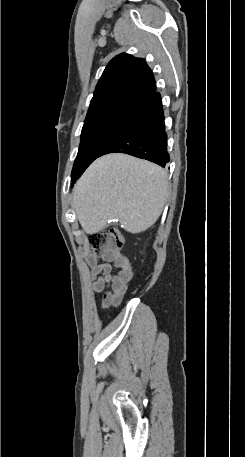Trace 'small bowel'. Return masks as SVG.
I'll list each match as a JSON object with an SVG mask.
<instances>
[{
  "mask_svg": "<svg viewBox=\"0 0 245 457\" xmlns=\"http://www.w3.org/2000/svg\"><path fill=\"white\" fill-rule=\"evenodd\" d=\"M86 263L94 292H103L102 309L119 306L133 280L134 267L128 257L117 252L108 256L89 255ZM114 269L116 270L114 272Z\"/></svg>",
  "mask_w": 245,
  "mask_h": 457,
  "instance_id": "small-bowel-1",
  "label": "small bowel"
}]
</instances>
